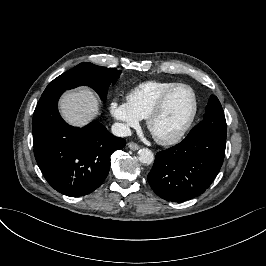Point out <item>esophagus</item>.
Listing matches in <instances>:
<instances>
[{
	"instance_id": "34e87169",
	"label": "esophagus",
	"mask_w": 266,
	"mask_h": 266,
	"mask_svg": "<svg viewBox=\"0 0 266 266\" xmlns=\"http://www.w3.org/2000/svg\"><path fill=\"white\" fill-rule=\"evenodd\" d=\"M128 147L131 149V150H138L140 148L139 145H137L136 143H128Z\"/></svg>"
}]
</instances>
